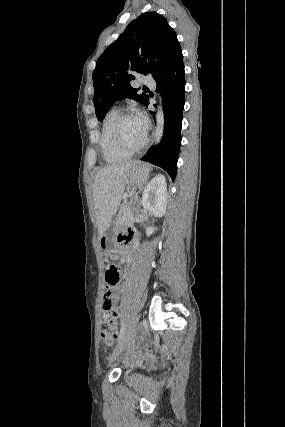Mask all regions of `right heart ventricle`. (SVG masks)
<instances>
[{"label": "right heart ventricle", "mask_w": 285, "mask_h": 427, "mask_svg": "<svg viewBox=\"0 0 285 427\" xmlns=\"http://www.w3.org/2000/svg\"><path fill=\"white\" fill-rule=\"evenodd\" d=\"M118 115L119 112L116 108H112L108 111L103 120L100 134L99 143L102 156L104 160L109 163L123 162L132 156L131 153L125 152L119 148L114 140L112 128Z\"/></svg>", "instance_id": "e07e8e85"}]
</instances>
